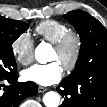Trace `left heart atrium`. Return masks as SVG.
<instances>
[{
    "label": "left heart atrium",
    "mask_w": 107,
    "mask_h": 107,
    "mask_svg": "<svg viewBox=\"0 0 107 107\" xmlns=\"http://www.w3.org/2000/svg\"><path fill=\"white\" fill-rule=\"evenodd\" d=\"M22 75L26 81L49 86L61 79L62 68L57 61L48 64H35L24 70Z\"/></svg>",
    "instance_id": "obj_1"
}]
</instances>
